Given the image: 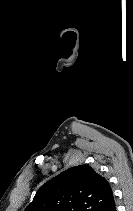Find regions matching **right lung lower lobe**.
Returning <instances> with one entry per match:
<instances>
[{
  "label": "right lung lower lobe",
  "mask_w": 133,
  "mask_h": 211,
  "mask_svg": "<svg viewBox=\"0 0 133 211\" xmlns=\"http://www.w3.org/2000/svg\"><path fill=\"white\" fill-rule=\"evenodd\" d=\"M111 211H116V207H114Z\"/></svg>",
  "instance_id": "98d812e1"
}]
</instances>
